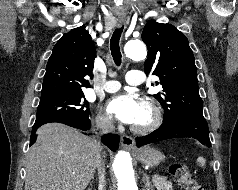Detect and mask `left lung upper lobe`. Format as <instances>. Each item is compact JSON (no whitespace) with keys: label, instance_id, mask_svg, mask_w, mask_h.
Segmentation results:
<instances>
[{"label":"left lung upper lobe","instance_id":"left-lung-upper-lobe-1","mask_svg":"<svg viewBox=\"0 0 238 190\" xmlns=\"http://www.w3.org/2000/svg\"><path fill=\"white\" fill-rule=\"evenodd\" d=\"M142 39L148 47L146 74L160 78L162 93L153 95L165 110L163 121L186 111H202L195 59L187 38L171 24L150 20Z\"/></svg>","mask_w":238,"mask_h":190}]
</instances>
